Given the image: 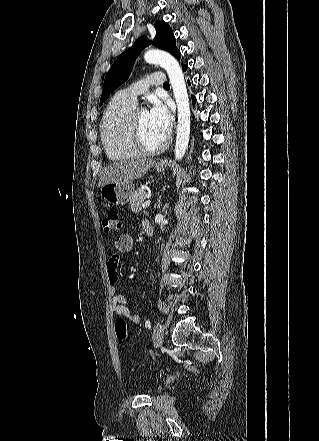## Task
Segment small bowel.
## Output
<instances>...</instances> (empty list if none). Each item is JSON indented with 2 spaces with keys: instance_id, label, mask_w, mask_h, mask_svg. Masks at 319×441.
Masks as SVG:
<instances>
[{
  "instance_id": "small-bowel-1",
  "label": "small bowel",
  "mask_w": 319,
  "mask_h": 441,
  "mask_svg": "<svg viewBox=\"0 0 319 441\" xmlns=\"http://www.w3.org/2000/svg\"><path fill=\"white\" fill-rule=\"evenodd\" d=\"M143 222V226L144 223ZM133 238L128 234L120 235L115 241V247L118 252L127 253L133 248ZM118 265H119V255L113 254L107 261L106 264V275L108 280V293L110 295V305L113 312L128 321L138 324L141 321L139 314L133 313L127 306L125 298L122 294L117 292L118 288L121 286L118 278Z\"/></svg>"
}]
</instances>
